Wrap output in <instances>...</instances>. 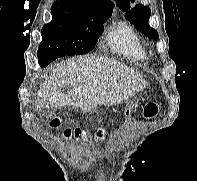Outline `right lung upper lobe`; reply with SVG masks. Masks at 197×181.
<instances>
[{"instance_id":"right-lung-upper-lobe-1","label":"right lung upper lobe","mask_w":197,"mask_h":181,"mask_svg":"<svg viewBox=\"0 0 197 181\" xmlns=\"http://www.w3.org/2000/svg\"><path fill=\"white\" fill-rule=\"evenodd\" d=\"M114 4L110 0H61L51 7L56 17L80 18L91 15L112 14Z\"/></svg>"}]
</instances>
